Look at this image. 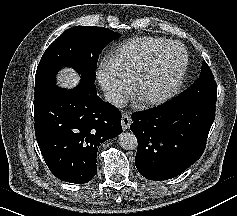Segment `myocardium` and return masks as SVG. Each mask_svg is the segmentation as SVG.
I'll use <instances>...</instances> for the list:
<instances>
[{
	"instance_id": "f54148a6",
	"label": "myocardium",
	"mask_w": 237,
	"mask_h": 216,
	"mask_svg": "<svg viewBox=\"0 0 237 216\" xmlns=\"http://www.w3.org/2000/svg\"><path fill=\"white\" fill-rule=\"evenodd\" d=\"M175 56L183 58L182 66L176 80L158 96L155 97L140 96L139 90L143 77L146 74H148L152 70V68H154L155 65L159 63V61H163L167 59V57H175ZM187 60H188L187 52L181 45H174V46L168 45L158 49V51L153 55V57L150 59L147 65L145 67H142V71L137 75L134 81L131 99L135 103L136 107L143 109L149 106L159 105L168 100L169 98H171L179 90V88L183 83L187 67Z\"/></svg>"
}]
</instances>
